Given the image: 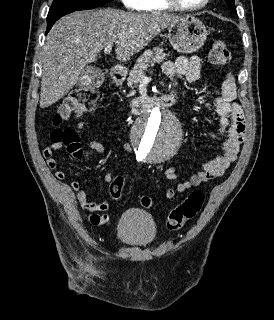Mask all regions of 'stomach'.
<instances>
[{
    "label": "stomach",
    "mask_w": 274,
    "mask_h": 320,
    "mask_svg": "<svg viewBox=\"0 0 274 320\" xmlns=\"http://www.w3.org/2000/svg\"><path fill=\"white\" fill-rule=\"evenodd\" d=\"M169 42L179 54H193L202 48L208 34L201 20L187 14L168 26Z\"/></svg>",
    "instance_id": "stomach-1"
}]
</instances>
